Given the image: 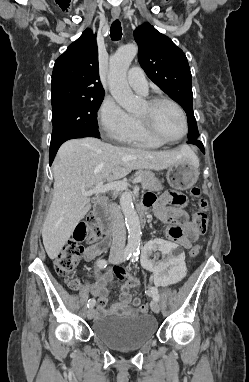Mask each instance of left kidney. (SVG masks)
Wrapping results in <instances>:
<instances>
[{
  "mask_svg": "<svg viewBox=\"0 0 249 382\" xmlns=\"http://www.w3.org/2000/svg\"><path fill=\"white\" fill-rule=\"evenodd\" d=\"M164 237H152L147 245H142L143 254L139 255L138 266L144 267L145 273H151V282L156 287H173V284L184 281L189 267L185 266V254L181 245ZM161 257L162 260H153Z\"/></svg>",
  "mask_w": 249,
  "mask_h": 382,
  "instance_id": "left-kidney-1",
  "label": "left kidney"
}]
</instances>
